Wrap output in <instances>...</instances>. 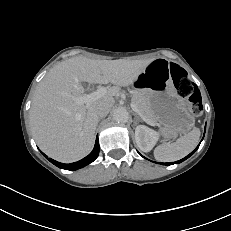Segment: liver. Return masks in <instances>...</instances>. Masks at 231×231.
Masks as SVG:
<instances>
[{"label":"liver","mask_w":231,"mask_h":231,"mask_svg":"<svg viewBox=\"0 0 231 231\" xmlns=\"http://www.w3.org/2000/svg\"><path fill=\"white\" fill-rule=\"evenodd\" d=\"M154 59L94 60L73 57L53 67L39 83L30 109V124L38 147L49 157L71 163L91 151L98 124L99 105L113 106L121 86L133 80ZM81 82L112 83L106 94L89 104H76Z\"/></svg>","instance_id":"liver-1"}]
</instances>
